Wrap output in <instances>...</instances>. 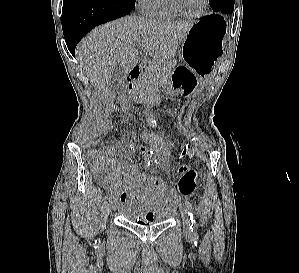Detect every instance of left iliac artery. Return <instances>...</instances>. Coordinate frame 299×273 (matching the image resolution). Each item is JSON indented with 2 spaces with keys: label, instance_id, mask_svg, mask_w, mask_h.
Here are the masks:
<instances>
[{
  "label": "left iliac artery",
  "instance_id": "obj_1",
  "mask_svg": "<svg viewBox=\"0 0 299 273\" xmlns=\"http://www.w3.org/2000/svg\"><path fill=\"white\" fill-rule=\"evenodd\" d=\"M185 206H186V208L188 210V213H189V216H190L191 231L195 235V234H197V224H196V221H195V218H194L193 206H192L191 202H189V201L185 202Z\"/></svg>",
  "mask_w": 299,
  "mask_h": 273
}]
</instances>
